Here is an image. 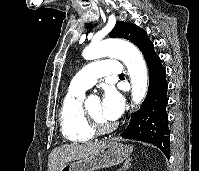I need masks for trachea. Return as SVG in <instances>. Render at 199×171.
<instances>
[{"mask_svg": "<svg viewBox=\"0 0 199 171\" xmlns=\"http://www.w3.org/2000/svg\"><path fill=\"white\" fill-rule=\"evenodd\" d=\"M119 77H124V74H123V73H122V74H120V75H119Z\"/></svg>", "mask_w": 199, "mask_h": 171, "instance_id": "3493384b", "label": "trachea"}]
</instances>
